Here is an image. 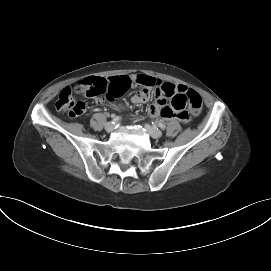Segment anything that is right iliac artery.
Masks as SVG:
<instances>
[{"instance_id":"82829eb1","label":"right iliac artery","mask_w":271,"mask_h":271,"mask_svg":"<svg viewBox=\"0 0 271 271\" xmlns=\"http://www.w3.org/2000/svg\"><path fill=\"white\" fill-rule=\"evenodd\" d=\"M120 120H121V117H119V116L113 117L112 123H117V122H119Z\"/></svg>"}]
</instances>
